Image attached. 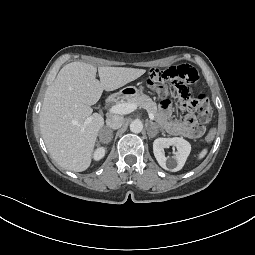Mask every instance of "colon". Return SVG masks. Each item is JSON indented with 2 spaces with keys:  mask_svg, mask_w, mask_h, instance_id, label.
I'll use <instances>...</instances> for the list:
<instances>
[{
  "mask_svg": "<svg viewBox=\"0 0 255 255\" xmlns=\"http://www.w3.org/2000/svg\"><path fill=\"white\" fill-rule=\"evenodd\" d=\"M198 78L195 68L189 65H179L171 67L167 70L154 68L149 72L147 84L150 88L164 94L166 83H172L179 94L180 100L184 108L188 111H196L202 124H207L212 118V107L208 98L204 94L191 96L190 85ZM216 133L210 130L205 140L211 142L214 140Z\"/></svg>",
  "mask_w": 255,
  "mask_h": 255,
  "instance_id": "obj_1",
  "label": "colon"
}]
</instances>
